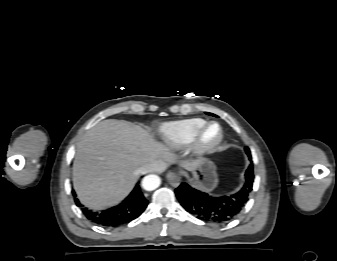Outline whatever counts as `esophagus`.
<instances>
[{
  "label": "esophagus",
  "instance_id": "1",
  "mask_svg": "<svg viewBox=\"0 0 337 261\" xmlns=\"http://www.w3.org/2000/svg\"><path fill=\"white\" fill-rule=\"evenodd\" d=\"M166 178L169 182V184L173 187H178L181 181V178L179 176V174L175 173V172H169L166 175Z\"/></svg>",
  "mask_w": 337,
  "mask_h": 261
}]
</instances>
